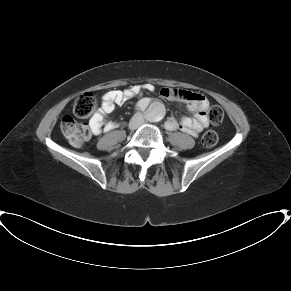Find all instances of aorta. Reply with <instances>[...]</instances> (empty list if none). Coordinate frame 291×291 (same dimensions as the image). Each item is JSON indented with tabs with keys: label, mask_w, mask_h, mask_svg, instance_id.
I'll return each mask as SVG.
<instances>
[{
	"label": "aorta",
	"mask_w": 291,
	"mask_h": 291,
	"mask_svg": "<svg viewBox=\"0 0 291 291\" xmlns=\"http://www.w3.org/2000/svg\"><path fill=\"white\" fill-rule=\"evenodd\" d=\"M147 117L150 120H159L163 117V112L161 110H156V108L153 105L148 109Z\"/></svg>",
	"instance_id": "aorta-1"
}]
</instances>
